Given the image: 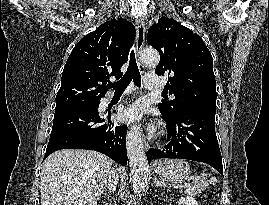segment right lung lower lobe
Listing matches in <instances>:
<instances>
[{"label":"right lung lower lobe","instance_id":"98d812e1","mask_svg":"<svg viewBox=\"0 0 269 205\" xmlns=\"http://www.w3.org/2000/svg\"><path fill=\"white\" fill-rule=\"evenodd\" d=\"M98 108L56 110L44 159L61 149H89L101 152L117 163L127 164V126L106 122ZM110 119V115H108Z\"/></svg>","mask_w":269,"mask_h":205}]
</instances>
